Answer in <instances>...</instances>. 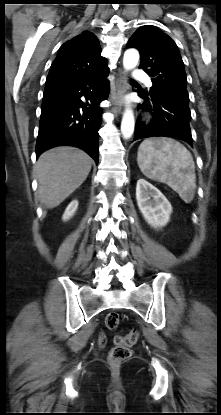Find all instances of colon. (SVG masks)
<instances>
[{"mask_svg":"<svg viewBox=\"0 0 221 415\" xmlns=\"http://www.w3.org/2000/svg\"><path fill=\"white\" fill-rule=\"evenodd\" d=\"M105 324L108 329L115 330L119 324V315L117 313H108L105 317ZM139 332L134 329L124 336L115 337V346L109 354V360L113 365H117L127 360L131 356V347L138 341ZM105 343V337L100 336V344Z\"/></svg>","mask_w":221,"mask_h":415,"instance_id":"colon-1","label":"colon"}]
</instances>
